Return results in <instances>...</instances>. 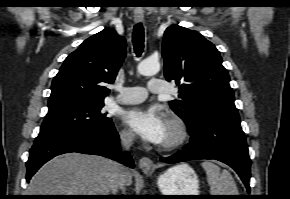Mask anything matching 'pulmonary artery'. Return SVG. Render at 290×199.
I'll return each mask as SVG.
<instances>
[{
  "label": "pulmonary artery",
  "instance_id": "e3ab8cb5",
  "mask_svg": "<svg viewBox=\"0 0 290 199\" xmlns=\"http://www.w3.org/2000/svg\"><path fill=\"white\" fill-rule=\"evenodd\" d=\"M117 102L121 104H135L144 101L148 91L153 94H165L169 91L168 85L160 79H152L148 83V91L143 87H121Z\"/></svg>",
  "mask_w": 290,
  "mask_h": 199
}]
</instances>
